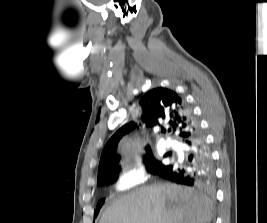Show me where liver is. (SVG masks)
I'll use <instances>...</instances> for the list:
<instances>
[{"mask_svg": "<svg viewBox=\"0 0 267 223\" xmlns=\"http://www.w3.org/2000/svg\"><path fill=\"white\" fill-rule=\"evenodd\" d=\"M212 201L192 188L156 184L110 205L99 223H210Z\"/></svg>", "mask_w": 267, "mask_h": 223, "instance_id": "6515ba94", "label": "liver"}]
</instances>
